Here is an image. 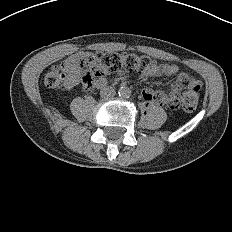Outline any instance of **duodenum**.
Instances as JSON below:
<instances>
[{"mask_svg":"<svg viewBox=\"0 0 232 232\" xmlns=\"http://www.w3.org/2000/svg\"><path fill=\"white\" fill-rule=\"evenodd\" d=\"M96 86H97V87H101V84L97 82V83H96Z\"/></svg>","mask_w":232,"mask_h":232,"instance_id":"1","label":"duodenum"}]
</instances>
